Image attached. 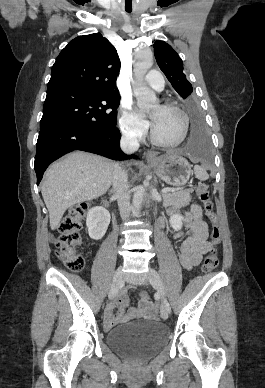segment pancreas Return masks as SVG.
<instances>
[{
    "label": "pancreas",
    "instance_id": "1",
    "mask_svg": "<svg viewBox=\"0 0 265 388\" xmlns=\"http://www.w3.org/2000/svg\"><path fill=\"white\" fill-rule=\"evenodd\" d=\"M194 190L189 188V190H181V192H173V194H162L163 206H187L191 200L190 194Z\"/></svg>",
    "mask_w": 265,
    "mask_h": 388
}]
</instances>
